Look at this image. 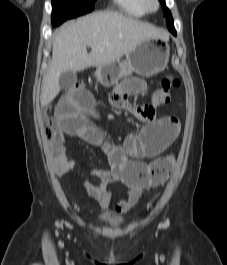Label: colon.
Masks as SVG:
<instances>
[{"instance_id": "1", "label": "colon", "mask_w": 227, "mask_h": 265, "mask_svg": "<svg viewBox=\"0 0 227 265\" xmlns=\"http://www.w3.org/2000/svg\"><path fill=\"white\" fill-rule=\"evenodd\" d=\"M179 85V80L174 76H167L162 79L160 87L152 95L150 104L140 106L141 112L138 113V117L146 120L152 121L156 115V107L166 104L171 99V91L174 87ZM71 87H83L81 84H74ZM48 112V111H47ZM56 121L54 119H49L47 122V133L49 136H53L56 130ZM174 164V159L171 155L164 156L156 160L153 167V174L157 177L158 181L166 179L169 172L171 171Z\"/></svg>"}]
</instances>
